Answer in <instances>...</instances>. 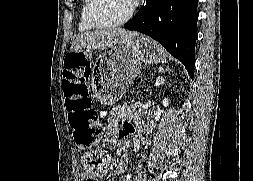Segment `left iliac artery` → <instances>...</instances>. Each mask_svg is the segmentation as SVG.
Instances as JSON below:
<instances>
[{
  "instance_id": "left-iliac-artery-1",
  "label": "left iliac artery",
  "mask_w": 253,
  "mask_h": 181,
  "mask_svg": "<svg viewBox=\"0 0 253 181\" xmlns=\"http://www.w3.org/2000/svg\"><path fill=\"white\" fill-rule=\"evenodd\" d=\"M142 181H146V179H145V178H143V179H142Z\"/></svg>"
}]
</instances>
